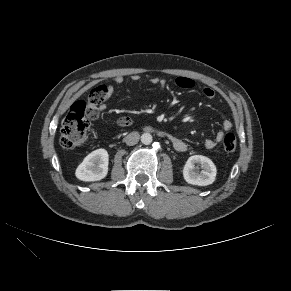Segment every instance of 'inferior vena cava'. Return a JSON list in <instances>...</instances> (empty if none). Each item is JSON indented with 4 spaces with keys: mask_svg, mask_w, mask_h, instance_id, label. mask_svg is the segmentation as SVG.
Returning <instances> with one entry per match:
<instances>
[{
    "mask_svg": "<svg viewBox=\"0 0 291 291\" xmlns=\"http://www.w3.org/2000/svg\"><path fill=\"white\" fill-rule=\"evenodd\" d=\"M139 138L140 135L138 132H131L124 138V141L127 145L132 146L138 143Z\"/></svg>",
    "mask_w": 291,
    "mask_h": 291,
    "instance_id": "602c4592",
    "label": "inferior vena cava"
}]
</instances>
